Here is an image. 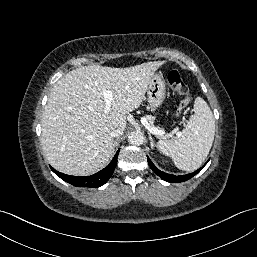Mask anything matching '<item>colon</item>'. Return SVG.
<instances>
[{"instance_id": "obj_1", "label": "colon", "mask_w": 257, "mask_h": 257, "mask_svg": "<svg viewBox=\"0 0 257 257\" xmlns=\"http://www.w3.org/2000/svg\"><path fill=\"white\" fill-rule=\"evenodd\" d=\"M167 81L170 92L178 97H181L177 113H181L190 103L188 96V88L184 83L180 73L176 70H171L167 75Z\"/></svg>"}]
</instances>
